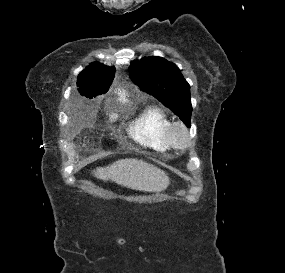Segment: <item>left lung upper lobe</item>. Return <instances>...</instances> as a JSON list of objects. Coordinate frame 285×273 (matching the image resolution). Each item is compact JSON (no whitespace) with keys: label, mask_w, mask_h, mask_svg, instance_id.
I'll use <instances>...</instances> for the list:
<instances>
[{"label":"left lung upper lobe","mask_w":285,"mask_h":273,"mask_svg":"<svg viewBox=\"0 0 285 273\" xmlns=\"http://www.w3.org/2000/svg\"><path fill=\"white\" fill-rule=\"evenodd\" d=\"M129 73L136 85L156 97L190 127V85L174 64L162 57L150 56L133 61Z\"/></svg>","instance_id":"left-lung-upper-lobe-1"}]
</instances>
